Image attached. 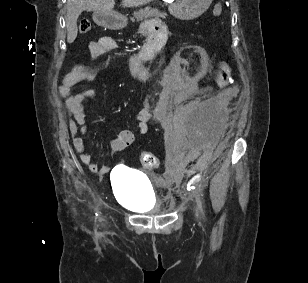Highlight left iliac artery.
I'll return each instance as SVG.
<instances>
[{
  "mask_svg": "<svg viewBox=\"0 0 308 283\" xmlns=\"http://www.w3.org/2000/svg\"><path fill=\"white\" fill-rule=\"evenodd\" d=\"M196 201H197V206H198L199 212H200V214L203 215L204 214V212H203V201H202V197H201L200 193H197Z\"/></svg>",
  "mask_w": 308,
  "mask_h": 283,
  "instance_id": "1",
  "label": "left iliac artery"
}]
</instances>
